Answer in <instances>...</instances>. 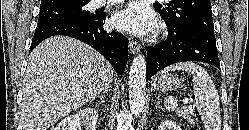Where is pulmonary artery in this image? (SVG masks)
<instances>
[{
	"label": "pulmonary artery",
	"mask_w": 249,
	"mask_h": 130,
	"mask_svg": "<svg viewBox=\"0 0 249 130\" xmlns=\"http://www.w3.org/2000/svg\"><path fill=\"white\" fill-rule=\"evenodd\" d=\"M123 0H94V5L96 7H102L105 5H114L116 3H119Z\"/></svg>",
	"instance_id": "e3ab8cb5"
}]
</instances>
